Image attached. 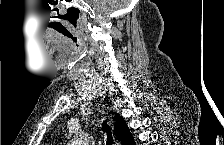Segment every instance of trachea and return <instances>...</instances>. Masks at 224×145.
<instances>
[{
  "label": "trachea",
  "mask_w": 224,
  "mask_h": 145,
  "mask_svg": "<svg viewBox=\"0 0 224 145\" xmlns=\"http://www.w3.org/2000/svg\"><path fill=\"white\" fill-rule=\"evenodd\" d=\"M102 129L107 135L106 145H112L113 144V136H112V133L110 132L109 127L106 122H104L102 124Z\"/></svg>",
  "instance_id": "1"
}]
</instances>
